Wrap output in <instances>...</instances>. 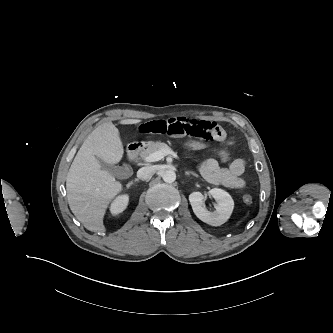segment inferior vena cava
<instances>
[{
  "mask_svg": "<svg viewBox=\"0 0 333 333\" xmlns=\"http://www.w3.org/2000/svg\"><path fill=\"white\" fill-rule=\"evenodd\" d=\"M156 173V168L154 166H145L138 170L137 177L140 180L150 179Z\"/></svg>",
  "mask_w": 333,
  "mask_h": 333,
  "instance_id": "inferior-vena-cava-1",
  "label": "inferior vena cava"
}]
</instances>
